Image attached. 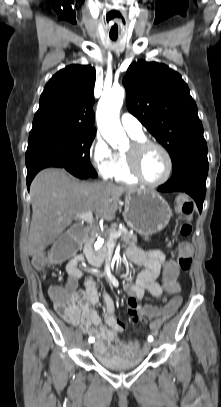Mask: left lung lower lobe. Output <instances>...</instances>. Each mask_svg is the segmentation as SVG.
<instances>
[{"mask_svg":"<svg viewBox=\"0 0 221 407\" xmlns=\"http://www.w3.org/2000/svg\"><path fill=\"white\" fill-rule=\"evenodd\" d=\"M207 152H198L185 157L175 168L170 180L158 187L160 192H185L195 200L199 211L206 193L208 174Z\"/></svg>","mask_w":221,"mask_h":407,"instance_id":"left-lung-lower-lobe-1","label":"left lung lower lobe"}]
</instances>
